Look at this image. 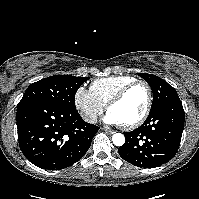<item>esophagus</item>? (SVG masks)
I'll return each instance as SVG.
<instances>
[{
	"label": "esophagus",
	"instance_id": "obj_1",
	"mask_svg": "<svg viewBox=\"0 0 199 199\" xmlns=\"http://www.w3.org/2000/svg\"><path fill=\"white\" fill-rule=\"evenodd\" d=\"M103 130L106 131V132L109 133V134H114V133H115L114 130H111V129H109V128H103Z\"/></svg>",
	"mask_w": 199,
	"mask_h": 199
}]
</instances>
